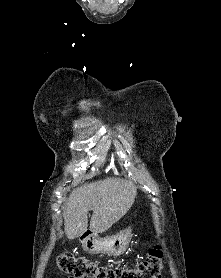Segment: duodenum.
Segmentation results:
<instances>
[{
    "label": "duodenum",
    "instance_id": "obj_1",
    "mask_svg": "<svg viewBox=\"0 0 221 278\" xmlns=\"http://www.w3.org/2000/svg\"><path fill=\"white\" fill-rule=\"evenodd\" d=\"M89 237H90V234H86V235H84L83 240L86 241Z\"/></svg>",
    "mask_w": 221,
    "mask_h": 278
}]
</instances>
